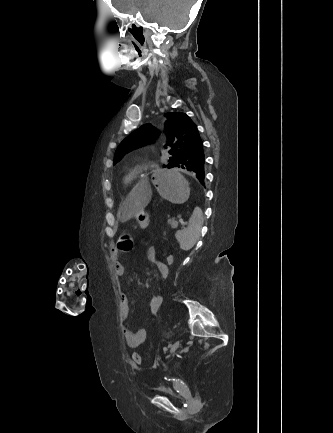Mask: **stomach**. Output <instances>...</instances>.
Segmentation results:
<instances>
[{"mask_svg":"<svg viewBox=\"0 0 333 433\" xmlns=\"http://www.w3.org/2000/svg\"><path fill=\"white\" fill-rule=\"evenodd\" d=\"M145 182L155 183L163 199L172 203H181L190 197L189 185L179 169H155L154 174L145 175ZM136 219L142 227L149 223V215L144 210L136 215Z\"/></svg>","mask_w":333,"mask_h":433,"instance_id":"obj_1","label":"stomach"}]
</instances>
